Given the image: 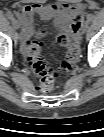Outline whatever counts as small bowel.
Wrapping results in <instances>:
<instances>
[{
	"label": "small bowel",
	"instance_id": "c3829d8e",
	"mask_svg": "<svg viewBox=\"0 0 104 137\" xmlns=\"http://www.w3.org/2000/svg\"><path fill=\"white\" fill-rule=\"evenodd\" d=\"M40 16L43 20H50L55 28L71 33L77 37L83 18L81 4L68 5L60 2L45 4H30L18 8L17 18L21 26V49L26 53L27 46L34 36H43L44 31L36 33L33 27V17Z\"/></svg>",
	"mask_w": 104,
	"mask_h": 137
}]
</instances>
